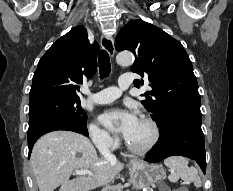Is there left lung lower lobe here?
Wrapping results in <instances>:
<instances>
[{
  "label": "left lung lower lobe",
  "instance_id": "1",
  "mask_svg": "<svg viewBox=\"0 0 233 191\" xmlns=\"http://www.w3.org/2000/svg\"><path fill=\"white\" fill-rule=\"evenodd\" d=\"M161 138L153 151L146 156L150 163L159 162L169 156H185L196 160L202 171H206L204 135L201 118L178 116L167 120L161 129Z\"/></svg>",
  "mask_w": 233,
  "mask_h": 191
}]
</instances>
